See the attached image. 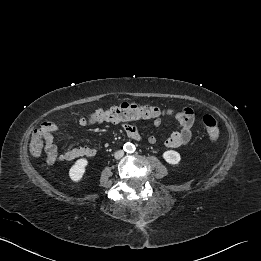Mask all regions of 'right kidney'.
Listing matches in <instances>:
<instances>
[{
  "label": "right kidney",
  "instance_id": "1",
  "mask_svg": "<svg viewBox=\"0 0 261 261\" xmlns=\"http://www.w3.org/2000/svg\"><path fill=\"white\" fill-rule=\"evenodd\" d=\"M87 165L88 160L86 158L78 159L69 170L71 180L74 182H79L83 178Z\"/></svg>",
  "mask_w": 261,
  "mask_h": 261
}]
</instances>
